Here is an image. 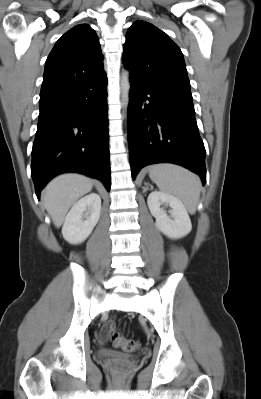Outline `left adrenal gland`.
I'll use <instances>...</instances> for the list:
<instances>
[{"label": "left adrenal gland", "instance_id": "1", "mask_svg": "<svg viewBox=\"0 0 261 399\" xmlns=\"http://www.w3.org/2000/svg\"><path fill=\"white\" fill-rule=\"evenodd\" d=\"M142 188H143V191H146L148 189V187H142Z\"/></svg>", "mask_w": 261, "mask_h": 399}]
</instances>
